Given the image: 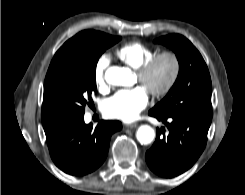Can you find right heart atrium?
Masks as SVG:
<instances>
[{
	"mask_svg": "<svg viewBox=\"0 0 245 195\" xmlns=\"http://www.w3.org/2000/svg\"><path fill=\"white\" fill-rule=\"evenodd\" d=\"M110 60L107 55H101L94 66L93 78L95 86L98 89H104L106 87L105 72L109 66Z\"/></svg>",
	"mask_w": 245,
	"mask_h": 195,
	"instance_id": "right-heart-atrium-1",
	"label": "right heart atrium"
}]
</instances>
